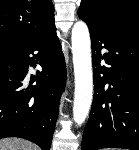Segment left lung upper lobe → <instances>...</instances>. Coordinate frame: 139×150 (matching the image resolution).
I'll return each mask as SVG.
<instances>
[{"instance_id": "1", "label": "left lung upper lobe", "mask_w": 139, "mask_h": 150, "mask_svg": "<svg viewBox=\"0 0 139 150\" xmlns=\"http://www.w3.org/2000/svg\"><path fill=\"white\" fill-rule=\"evenodd\" d=\"M78 15L107 32L139 19V0H82Z\"/></svg>"}]
</instances>
